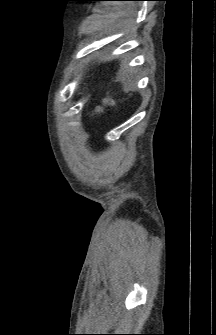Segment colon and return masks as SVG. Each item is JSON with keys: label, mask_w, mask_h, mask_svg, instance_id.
I'll use <instances>...</instances> for the list:
<instances>
[{"label": "colon", "mask_w": 216, "mask_h": 335, "mask_svg": "<svg viewBox=\"0 0 216 335\" xmlns=\"http://www.w3.org/2000/svg\"><path fill=\"white\" fill-rule=\"evenodd\" d=\"M113 106V100L111 98H106L103 100L102 104L99 106V110H103Z\"/></svg>", "instance_id": "1"}]
</instances>
